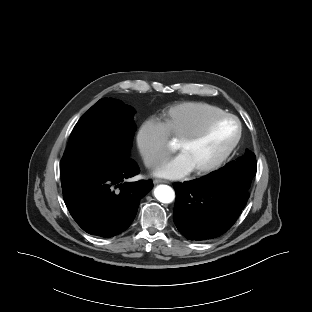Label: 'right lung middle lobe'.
<instances>
[{
  "mask_svg": "<svg viewBox=\"0 0 312 312\" xmlns=\"http://www.w3.org/2000/svg\"><path fill=\"white\" fill-rule=\"evenodd\" d=\"M134 113L120 100L102 98L82 115L60 163L62 189L128 158Z\"/></svg>",
  "mask_w": 312,
  "mask_h": 312,
  "instance_id": "right-lung-middle-lobe-1",
  "label": "right lung middle lobe"
}]
</instances>
